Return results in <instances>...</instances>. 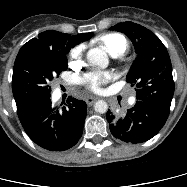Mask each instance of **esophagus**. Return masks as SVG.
Segmentation results:
<instances>
[{"instance_id": "esophagus-1", "label": "esophagus", "mask_w": 187, "mask_h": 187, "mask_svg": "<svg viewBox=\"0 0 187 187\" xmlns=\"http://www.w3.org/2000/svg\"><path fill=\"white\" fill-rule=\"evenodd\" d=\"M97 100V98L96 97H88V98H86V103H87V105L88 106H91V105H93V103L95 102Z\"/></svg>"}]
</instances>
